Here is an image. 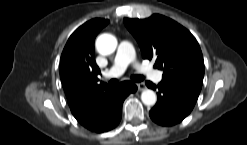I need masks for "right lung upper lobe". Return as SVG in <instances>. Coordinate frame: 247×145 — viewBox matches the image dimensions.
<instances>
[{
	"mask_svg": "<svg viewBox=\"0 0 247 145\" xmlns=\"http://www.w3.org/2000/svg\"><path fill=\"white\" fill-rule=\"evenodd\" d=\"M109 23L92 19L80 26L68 39L61 55L60 77L72 113L78 112L110 87L97 84L100 73L94 59V39Z\"/></svg>",
	"mask_w": 247,
	"mask_h": 145,
	"instance_id": "1",
	"label": "right lung upper lobe"
}]
</instances>
